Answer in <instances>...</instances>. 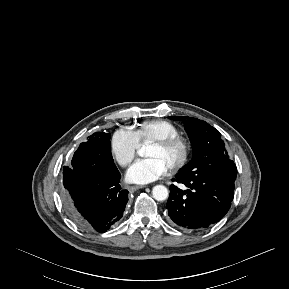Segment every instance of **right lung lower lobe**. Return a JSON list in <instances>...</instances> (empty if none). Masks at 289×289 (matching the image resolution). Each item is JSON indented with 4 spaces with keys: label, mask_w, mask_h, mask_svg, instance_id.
Listing matches in <instances>:
<instances>
[{
    "label": "right lung lower lobe",
    "mask_w": 289,
    "mask_h": 289,
    "mask_svg": "<svg viewBox=\"0 0 289 289\" xmlns=\"http://www.w3.org/2000/svg\"><path fill=\"white\" fill-rule=\"evenodd\" d=\"M63 176V200L80 227L104 233L122 218L128 191L119 185L116 166L101 168L82 159L76 168L64 167Z\"/></svg>",
    "instance_id": "obj_1"
}]
</instances>
